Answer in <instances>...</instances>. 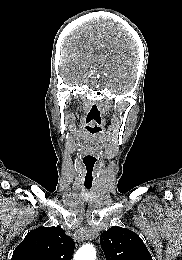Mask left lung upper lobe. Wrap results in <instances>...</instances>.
Here are the masks:
<instances>
[{
  "label": "left lung upper lobe",
  "mask_w": 182,
  "mask_h": 260,
  "mask_svg": "<svg viewBox=\"0 0 182 260\" xmlns=\"http://www.w3.org/2000/svg\"><path fill=\"white\" fill-rule=\"evenodd\" d=\"M100 244L106 260H152L142 239L125 228H109L102 233Z\"/></svg>",
  "instance_id": "left-lung-upper-lobe-1"
}]
</instances>
